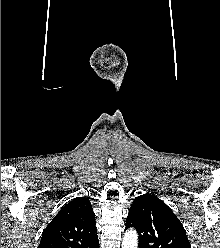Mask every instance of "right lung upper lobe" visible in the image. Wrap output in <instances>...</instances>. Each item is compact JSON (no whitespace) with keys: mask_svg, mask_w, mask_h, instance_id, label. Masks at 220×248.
Here are the masks:
<instances>
[{"mask_svg":"<svg viewBox=\"0 0 220 248\" xmlns=\"http://www.w3.org/2000/svg\"><path fill=\"white\" fill-rule=\"evenodd\" d=\"M95 223L90 201L75 198L46 227L38 248H93L99 244Z\"/></svg>","mask_w":220,"mask_h":248,"instance_id":"obj_1","label":"right lung upper lobe"}]
</instances>
